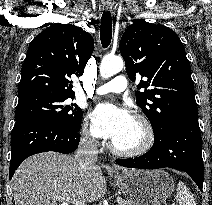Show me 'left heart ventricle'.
I'll return each mask as SVG.
<instances>
[{
  "mask_svg": "<svg viewBox=\"0 0 212 205\" xmlns=\"http://www.w3.org/2000/svg\"><path fill=\"white\" fill-rule=\"evenodd\" d=\"M142 138L141 126L135 120H132L128 128L113 140V143L119 148L130 149L136 147L142 141Z\"/></svg>",
  "mask_w": 212,
  "mask_h": 205,
  "instance_id": "b2bd125f",
  "label": "left heart ventricle"
}]
</instances>
